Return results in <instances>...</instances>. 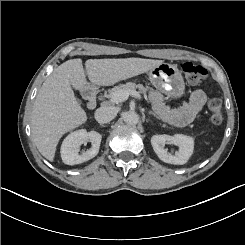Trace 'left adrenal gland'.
<instances>
[{"mask_svg": "<svg viewBox=\"0 0 245 245\" xmlns=\"http://www.w3.org/2000/svg\"><path fill=\"white\" fill-rule=\"evenodd\" d=\"M142 111L144 112L145 110L144 109H142ZM149 114H152L154 117H156L157 119H159L160 120V117L159 116H157L153 111H149Z\"/></svg>", "mask_w": 245, "mask_h": 245, "instance_id": "1", "label": "left adrenal gland"}]
</instances>
